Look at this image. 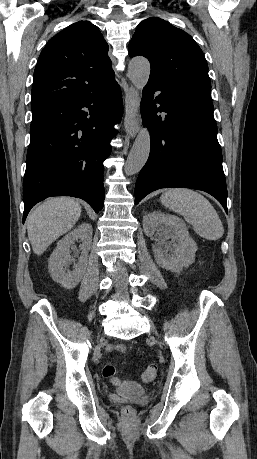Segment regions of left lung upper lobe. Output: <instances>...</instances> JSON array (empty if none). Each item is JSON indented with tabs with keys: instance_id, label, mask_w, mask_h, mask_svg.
<instances>
[{
	"instance_id": "obj_1",
	"label": "left lung upper lobe",
	"mask_w": 257,
	"mask_h": 459,
	"mask_svg": "<svg viewBox=\"0 0 257 459\" xmlns=\"http://www.w3.org/2000/svg\"><path fill=\"white\" fill-rule=\"evenodd\" d=\"M129 55H141L150 61V82L211 88L207 61L200 47L189 34L163 19L151 17L139 23Z\"/></svg>"
}]
</instances>
